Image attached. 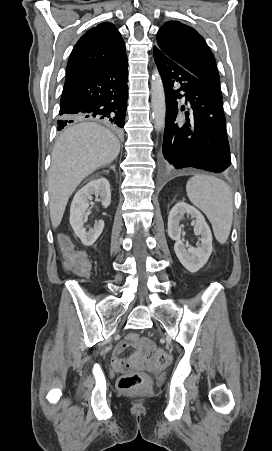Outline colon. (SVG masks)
<instances>
[{
  "instance_id": "obj_1",
  "label": "colon",
  "mask_w": 272,
  "mask_h": 451,
  "mask_svg": "<svg viewBox=\"0 0 272 451\" xmlns=\"http://www.w3.org/2000/svg\"><path fill=\"white\" fill-rule=\"evenodd\" d=\"M58 243L61 249L62 258L66 260L67 267H72L73 271H86L88 269L87 253L81 251L80 247H72L71 242L63 234L58 236ZM85 274V273H84ZM125 344H120L116 350H122ZM139 354L131 358H112V367L120 368L123 374L119 380V386L123 390H135L152 386V380L146 373L137 371L136 366H140L142 359L151 361V366L161 371L166 369L171 361V357L165 351H162L161 345H155L154 342H144Z\"/></svg>"
}]
</instances>
